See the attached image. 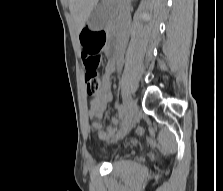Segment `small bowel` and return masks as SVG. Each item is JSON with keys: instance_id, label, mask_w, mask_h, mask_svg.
<instances>
[{"instance_id": "1", "label": "small bowel", "mask_w": 223, "mask_h": 191, "mask_svg": "<svg viewBox=\"0 0 223 191\" xmlns=\"http://www.w3.org/2000/svg\"><path fill=\"white\" fill-rule=\"evenodd\" d=\"M115 72V64L109 61L105 68V73L103 76L102 87L95 94L92 95L90 99V108L88 111V116L91 121V126L97 131L98 137L102 140H108L112 138L116 131L117 127L123 125V120L119 113V117H114L111 119L112 127L104 130L100 119L102 118L103 112L107 108L108 104L112 101V92H111V78Z\"/></svg>"}]
</instances>
